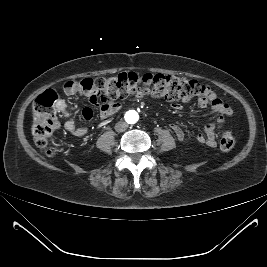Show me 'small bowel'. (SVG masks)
<instances>
[{
    "label": "small bowel",
    "mask_w": 267,
    "mask_h": 267,
    "mask_svg": "<svg viewBox=\"0 0 267 267\" xmlns=\"http://www.w3.org/2000/svg\"><path fill=\"white\" fill-rule=\"evenodd\" d=\"M63 91L65 95L72 96L76 94L84 95L89 97L88 93L82 88L75 85V81H68L64 84ZM198 106L202 109L211 107L212 111L218 114L217 125L210 122L205 126L204 134L197 135V141L201 144H205L209 147L216 146V131L225 124V118L232 115L231 107L223 102L217 94L208 88L204 95L199 96L197 100ZM178 110L182 109L179 104L174 105ZM56 108L58 112L65 118L64 129L73 136L83 137L88 133V129L85 126H77L71 119V113L68 109L66 102L60 99ZM121 106L116 102H107L100 105V117L102 119H108L116 115ZM93 117V111L91 108L86 107L82 110V119L84 122H88ZM171 129L173 130L176 138L179 141H183L186 138L185 130L177 124H172Z\"/></svg>",
    "instance_id": "obj_1"
}]
</instances>
